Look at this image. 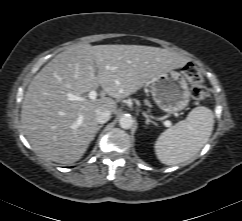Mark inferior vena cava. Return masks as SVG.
<instances>
[{
    "mask_svg": "<svg viewBox=\"0 0 242 221\" xmlns=\"http://www.w3.org/2000/svg\"><path fill=\"white\" fill-rule=\"evenodd\" d=\"M110 117H111V111L107 109L96 110V118L98 123L104 124L110 119Z\"/></svg>",
    "mask_w": 242,
    "mask_h": 221,
    "instance_id": "inferior-vena-cava-1",
    "label": "inferior vena cava"
}]
</instances>
